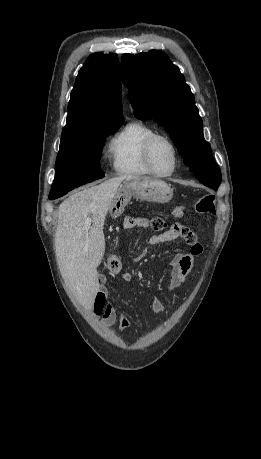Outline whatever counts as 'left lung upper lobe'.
Masks as SVG:
<instances>
[{
    "mask_svg": "<svg viewBox=\"0 0 261 459\" xmlns=\"http://www.w3.org/2000/svg\"><path fill=\"white\" fill-rule=\"evenodd\" d=\"M121 78L135 116L154 119L169 132L184 163L202 183L221 182V171L203 136V123L190 87L179 68L161 51L124 54Z\"/></svg>",
    "mask_w": 261,
    "mask_h": 459,
    "instance_id": "left-lung-upper-lobe-1",
    "label": "left lung upper lobe"
}]
</instances>
